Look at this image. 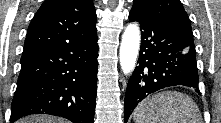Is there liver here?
<instances>
[{
  "label": "liver",
  "instance_id": "1",
  "mask_svg": "<svg viewBox=\"0 0 221 123\" xmlns=\"http://www.w3.org/2000/svg\"><path fill=\"white\" fill-rule=\"evenodd\" d=\"M17 123H67V121L47 115H32L18 120Z\"/></svg>",
  "mask_w": 221,
  "mask_h": 123
}]
</instances>
